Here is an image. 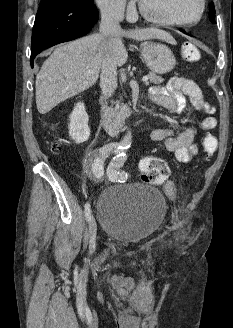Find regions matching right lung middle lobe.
I'll return each instance as SVG.
<instances>
[{
  "mask_svg": "<svg viewBox=\"0 0 233 328\" xmlns=\"http://www.w3.org/2000/svg\"><path fill=\"white\" fill-rule=\"evenodd\" d=\"M70 1L86 3V4H93V0H70Z\"/></svg>",
  "mask_w": 233,
  "mask_h": 328,
  "instance_id": "obj_1",
  "label": "right lung middle lobe"
}]
</instances>
